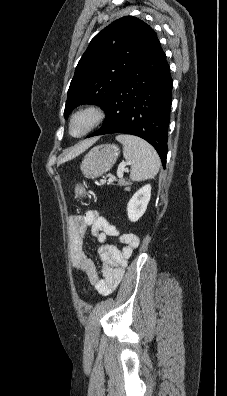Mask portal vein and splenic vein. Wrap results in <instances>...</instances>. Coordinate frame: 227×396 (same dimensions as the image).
Masks as SVG:
<instances>
[{
	"label": "portal vein and splenic vein",
	"mask_w": 227,
	"mask_h": 396,
	"mask_svg": "<svg viewBox=\"0 0 227 396\" xmlns=\"http://www.w3.org/2000/svg\"><path fill=\"white\" fill-rule=\"evenodd\" d=\"M128 164V163H127ZM126 163H124V164H122L119 168H118V170H117V176L119 177V178H122L123 177V173H124V167L127 165ZM108 181L109 182H113V179L112 178H109L108 179Z\"/></svg>",
	"instance_id": "portal-vein-and-splenic-vein-1"
}]
</instances>
